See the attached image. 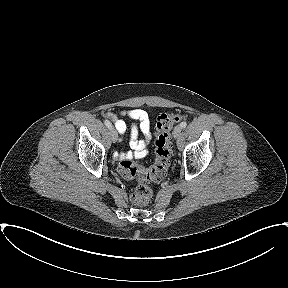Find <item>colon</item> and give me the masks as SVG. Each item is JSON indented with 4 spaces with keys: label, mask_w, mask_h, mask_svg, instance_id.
Here are the masks:
<instances>
[{
    "label": "colon",
    "mask_w": 288,
    "mask_h": 288,
    "mask_svg": "<svg viewBox=\"0 0 288 288\" xmlns=\"http://www.w3.org/2000/svg\"><path fill=\"white\" fill-rule=\"evenodd\" d=\"M183 116L176 113H163L158 117L156 125L155 159L151 165L145 166L132 159H122L119 173L126 180H136L138 185L130 199L136 205L146 204L152 195L149 184L159 182L166 176L171 157V131Z\"/></svg>",
    "instance_id": "colon-1"
}]
</instances>
